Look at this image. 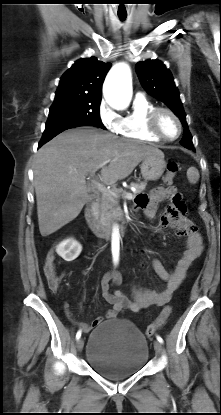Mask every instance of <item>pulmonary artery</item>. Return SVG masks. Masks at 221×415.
Returning a JSON list of instances; mask_svg holds the SVG:
<instances>
[{"label": "pulmonary artery", "mask_w": 221, "mask_h": 415, "mask_svg": "<svg viewBox=\"0 0 221 415\" xmlns=\"http://www.w3.org/2000/svg\"><path fill=\"white\" fill-rule=\"evenodd\" d=\"M140 95H142L141 93H138L136 96H140Z\"/></svg>", "instance_id": "obj_1"}]
</instances>
